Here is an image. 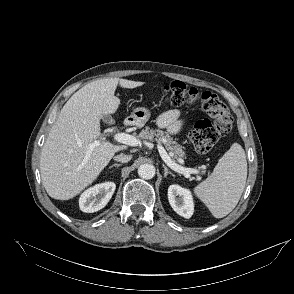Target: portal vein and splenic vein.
<instances>
[{"label": "portal vein and splenic vein", "mask_w": 294, "mask_h": 294, "mask_svg": "<svg viewBox=\"0 0 294 294\" xmlns=\"http://www.w3.org/2000/svg\"><path fill=\"white\" fill-rule=\"evenodd\" d=\"M114 140H116L119 143H123L125 145L129 146H138L141 144L140 140L136 137L126 134V133H115L113 135ZM99 143L96 141L91 145V147L97 146ZM159 153L164 160V162L174 171L183 174L186 178L190 176L192 173H198V170L192 169V168H185L177 163H175L170 155L165 151V149L162 146H158ZM172 155V154H171Z\"/></svg>", "instance_id": "18ae733b"}]
</instances>
